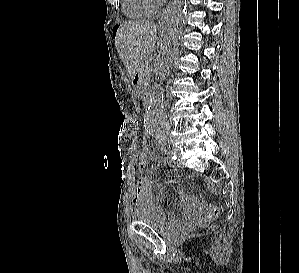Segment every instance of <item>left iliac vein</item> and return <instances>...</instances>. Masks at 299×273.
I'll return each mask as SVG.
<instances>
[{"instance_id": "1", "label": "left iliac vein", "mask_w": 299, "mask_h": 273, "mask_svg": "<svg viewBox=\"0 0 299 273\" xmlns=\"http://www.w3.org/2000/svg\"><path fill=\"white\" fill-rule=\"evenodd\" d=\"M174 152H175V154H177L179 156V154H180L179 149H175Z\"/></svg>"}]
</instances>
